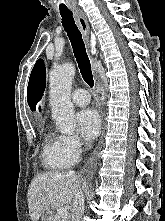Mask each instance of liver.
Segmentation results:
<instances>
[{
	"label": "liver",
	"instance_id": "6515ba94",
	"mask_svg": "<svg viewBox=\"0 0 165 221\" xmlns=\"http://www.w3.org/2000/svg\"><path fill=\"white\" fill-rule=\"evenodd\" d=\"M81 179L73 173L45 172L33 178L27 201L32 221H38L49 206H69L79 189Z\"/></svg>",
	"mask_w": 165,
	"mask_h": 221
}]
</instances>
